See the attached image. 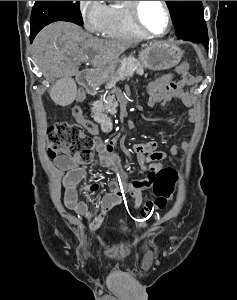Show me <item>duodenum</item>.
Returning <instances> with one entry per match:
<instances>
[{"label": "duodenum", "instance_id": "410a0bca", "mask_svg": "<svg viewBox=\"0 0 237 300\" xmlns=\"http://www.w3.org/2000/svg\"><path fill=\"white\" fill-rule=\"evenodd\" d=\"M79 83L81 87L89 94H93L99 87L101 82L100 74L94 70H85L79 75ZM91 114L99 129L104 132L111 130V124L107 118L101 113L98 107L93 104Z\"/></svg>", "mask_w": 237, "mask_h": 300}]
</instances>
